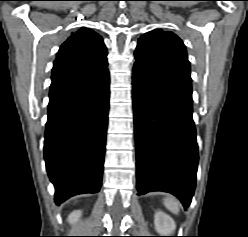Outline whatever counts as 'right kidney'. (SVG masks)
I'll return each instance as SVG.
<instances>
[{
  "instance_id": "right-kidney-1",
  "label": "right kidney",
  "mask_w": 248,
  "mask_h": 237,
  "mask_svg": "<svg viewBox=\"0 0 248 237\" xmlns=\"http://www.w3.org/2000/svg\"><path fill=\"white\" fill-rule=\"evenodd\" d=\"M82 212L80 210L73 211L71 214L68 216V222L70 224H75L79 218L81 217Z\"/></svg>"
}]
</instances>
